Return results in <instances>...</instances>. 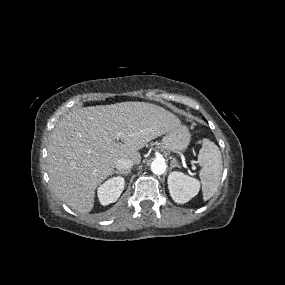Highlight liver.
Returning <instances> with one entry per match:
<instances>
[{
    "instance_id": "6515ba94",
    "label": "liver",
    "mask_w": 285,
    "mask_h": 285,
    "mask_svg": "<svg viewBox=\"0 0 285 285\" xmlns=\"http://www.w3.org/2000/svg\"><path fill=\"white\" fill-rule=\"evenodd\" d=\"M179 125L176 115L146 102L73 110L58 122L50 137L47 164L51 187L67 205L88 214L97 186L112 175L119 159L139 164L140 149Z\"/></svg>"
}]
</instances>
